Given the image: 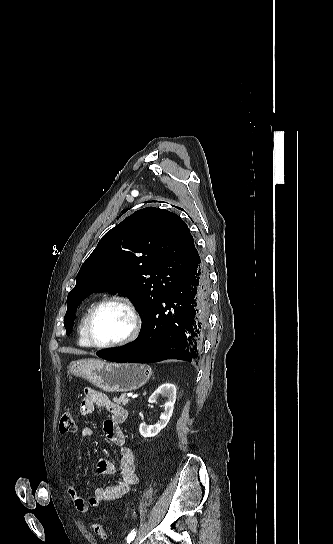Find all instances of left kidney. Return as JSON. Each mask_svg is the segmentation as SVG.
<instances>
[{
  "mask_svg": "<svg viewBox=\"0 0 333 544\" xmlns=\"http://www.w3.org/2000/svg\"><path fill=\"white\" fill-rule=\"evenodd\" d=\"M159 396L168 397V401L164 405V412L160 415V421L156 425H147L141 423L139 426V432L143 437H154L162 429H164L173 413L174 404L176 400V387L173 384L165 383L158 387V389L150 396L148 402L155 403Z\"/></svg>",
  "mask_w": 333,
  "mask_h": 544,
  "instance_id": "1",
  "label": "left kidney"
}]
</instances>
